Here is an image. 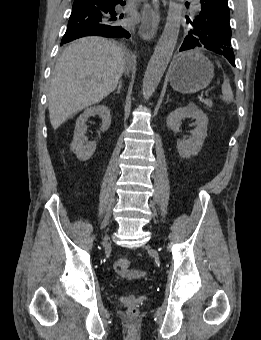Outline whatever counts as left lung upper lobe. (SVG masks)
<instances>
[{
	"instance_id": "5c2ea615",
	"label": "left lung upper lobe",
	"mask_w": 261,
	"mask_h": 340,
	"mask_svg": "<svg viewBox=\"0 0 261 340\" xmlns=\"http://www.w3.org/2000/svg\"><path fill=\"white\" fill-rule=\"evenodd\" d=\"M190 24L192 29L188 32V35H195V37L202 41L200 47H204L223 56H225L226 52L232 50L229 19L212 20L204 25H198L195 22H191Z\"/></svg>"
}]
</instances>
